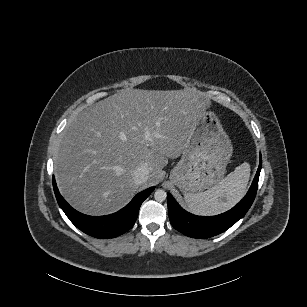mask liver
Here are the masks:
<instances>
[{
  "label": "liver",
  "mask_w": 307,
  "mask_h": 307,
  "mask_svg": "<svg viewBox=\"0 0 307 307\" xmlns=\"http://www.w3.org/2000/svg\"><path fill=\"white\" fill-rule=\"evenodd\" d=\"M203 97L195 88L125 89L86 108L68 124L54 159L64 198L88 215L122 208L138 188L133 173L141 164L153 182L167 158L181 155L197 115L210 105Z\"/></svg>",
  "instance_id": "1"
}]
</instances>
